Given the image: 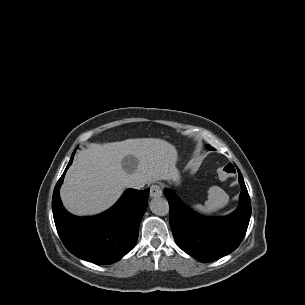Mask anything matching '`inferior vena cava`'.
Wrapping results in <instances>:
<instances>
[{"mask_svg": "<svg viewBox=\"0 0 305 305\" xmlns=\"http://www.w3.org/2000/svg\"><path fill=\"white\" fill-rule=\"evenodd\" d=\"M130 187H132V188H134V189H140V188L144 187V185L141 184V183H138V182H133V183L130 185Z\"/></svg>", "mask_w": 305, "mask_h": 305, "instance_id": "inferior-vena-cava-1", "label": "inferior vena cava"}]
</instances>
